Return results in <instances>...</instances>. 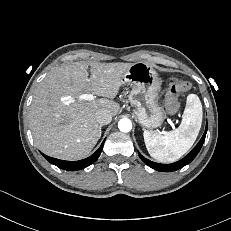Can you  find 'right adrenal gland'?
Returning <instances> with one entry per match:
<instances>
[{"mask_svg":"<svg viewBox=\"0 0 231 231\" xmlns=\"http://www.w3.org/2000/svg\"><path fill=\"white\" fill-rule=\"evenodd\" d=\"M101 127H102V126H99V129H100V130H101Z\"/></svg>","mask_w":231,"mask_h":231,"instance_id":"2a0ac1e0","label":"right adrenal gland"}]
</instances>
